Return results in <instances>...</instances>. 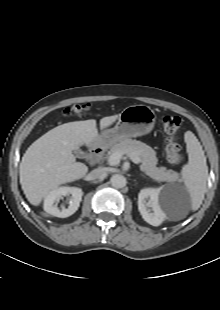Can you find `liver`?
<instances>
[{
	"label": "liver",
	"mask_w": 220,
	"mask_h": 310,
	"mask_svg": "<svg viewBox=\"0 0 220 310\" xmlns=\"http://www.w3.org/2000/svg\"><path fill=\"white\" fill-rule=\"evenodd\" d=\"M118 117L102 118L100 128L110 126ZM98 142L94 119L59 125L33 142L19 166L21 188L30 204L38 206L54 188L83 178L88 167L76 162L72 151L82 145L94 146Z\"/></svg>",
	"instance_id": "liver-1"
}]
</instances>
